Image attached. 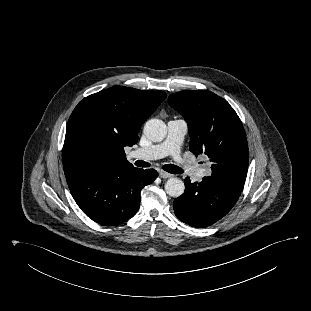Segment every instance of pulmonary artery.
<instances>
[{"instance_id": "obj_1", "label": "pulmonary artery", "mask_w": 311, "mask_h": 311, "mask_svg": "<svg viewBox=\"0 0 311 311\" xmlns=\"http://www.w3.org/2000/svg\"><path fill=\"white\" fill-rule=\"evenodd\" d=\"M186 132L187 124L183 119H172L168 122V132L163 142L137 149L133 155L145 160L159 159L170 155L182 163L180 148ZM189 171L197 180H200L207 174L208 169L205 167H189Z\"/></svg>"}]
</instances>
